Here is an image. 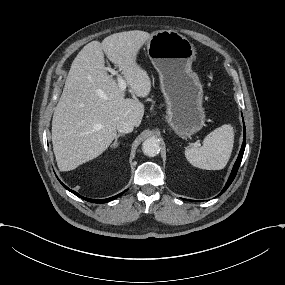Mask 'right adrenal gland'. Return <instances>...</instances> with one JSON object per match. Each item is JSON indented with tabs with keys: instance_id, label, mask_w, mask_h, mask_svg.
I'll return each instance as SVG.
<instances>
[{
	"instance_id": "2a0ac1e0",
	"label": "right adrenal gland",
	"mask_w": 285,
	"mask_h": 285,
	"mask_svg": "<svg viewBox=\"0 0 285 285\" xmlns=\"http://www.w3.org/2000/svg\"><path fill=\"white\" fill-rule=\"evenodd\" d=\"M120 136H123V134L119 133V134L116 135L115 141H114V143H113V144L111 145V147H110L111 149H116V147L118 146L117 141H118V138H119Z\"/></svg>"
}]
</instances>
